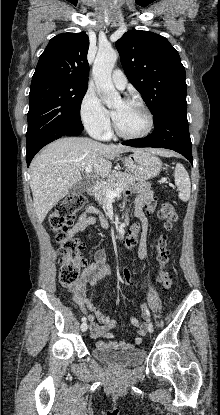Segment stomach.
Returning <instances> with one entry per match:
<instances>
[{"instance_id": "1", "label": "stomach", "mask_w": 220, "mask_h": 415, "mask_svg": "<svg viewBox=\"0 0 220 415\" xmlns=\"http://www.w3.org/2000/svg\"><path fill=\"white\" fill-rule=\"evenodd\" d=\"M126 168L140 179L156 177L161 169V160L146 150H138L122 158Z\"/></svg>"}]
</instances>
